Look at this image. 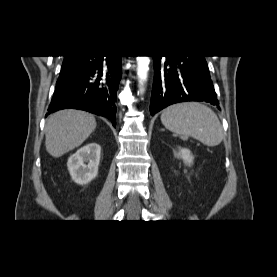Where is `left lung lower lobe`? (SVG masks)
I'll list each match as a JSON object with an SVG mask.
<instances>
[{"mask_svg": "<svg viewBox=\"0 0 277 277\" xmlns=\"http://www.w3.org/2000/svg\"><path fill=\"white\" fill-rule=\"evenodd\" d=\"M153 63L151 115L184 101L219 104L205 56H153Z\"/></svg>", "mask_w": 277, "mask_h": 277, "instance_id": "left-lung-lower-lobe-1", "label": "left lung lower lobe"}]
</instances>
